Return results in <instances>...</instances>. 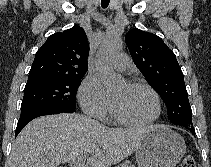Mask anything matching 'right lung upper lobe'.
Listing matches in <instances>:
<instances>
[{"label":"right lung upper lobe","instance_id":"1","mask_svg":"<svg viewBox=\"0 0 211 167\" xmlns=\"http://www.w3.org/2000/svg\"><path fill=\"white\" fill-rule=\"evenodd\" d=\"M88 53L89 45L83 28L75 25L54 33L36 52L28 81L84 76L88 70Z\"/></svg>","mask_w":211,"mask_h":167}]
</instances>
